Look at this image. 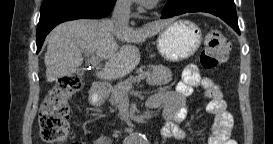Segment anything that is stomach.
Here are the masks:
<instances>
[{"instance_id": "1", "label": "stomach", "mask_w": 273, "mask_h": 144, "mask_svg": "<svg viewBox=\"0 0 273 144\" xmlns=\"http://www.w3.org/2000/svg\"><path fill=\"white\" fill-rule=\"evenodd\" d=\"M202 33L200 28L189 20H178L164 28L157 39V49L169 61H182L192 56L200 47ZM104 102L103 93H93L90 103L100 105Z\"/></svg>"}]
</instances>
